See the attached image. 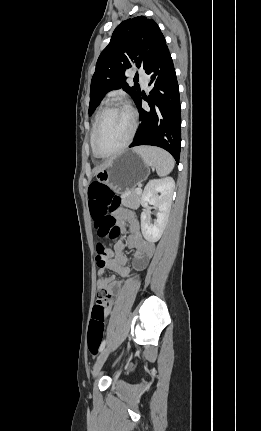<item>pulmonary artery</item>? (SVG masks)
Returning a JSON list of instances; mask_svg holds the SVG:
<instances>
[{
    "label": "pulmonary artery",
    "mask_w": 261,
    "mask_h": 431,
    "mask_svg": "<svg viewBox=\"0 0 261 431\" xmlns=\"http://www.w3.org/2000/svg\"><path fill=\"white\" fill-rule=\"evenodd\" d=\"M138 77H139V80H140L142 86L143 87H147V85H148V76H147V74L145 72H143V71H139L138 72Z\"/></svg>",
    "instance_id": "pulmonary-artery-1"
}]
</instances>
